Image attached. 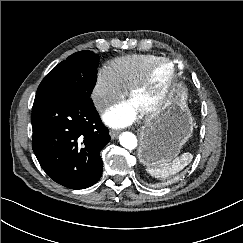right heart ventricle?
Here are the masks:
<instances>
[{
	"mask_svg": "<svg viewBox=\"0 0 243 243\" xmlns=\"http://www.w3.org/2000/svg\"><path fill=\"white\" fill-rule=\"evenodd\" d=\"M158 58V56L152 54L122 56L110 60L106 64L105 70L123 90H127Z\"/></svg>",
	"mask_w": 243,
	"mask_h": 243,
	"instance_id": "1",
	"label": "right heart ventricle"
}]
</instances>
